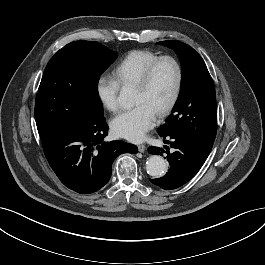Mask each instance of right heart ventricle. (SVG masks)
<instances>
[{
	"label": "right heart ventricle",
	"instance_id": "1",
	"mask_svg": "<svg viewBox=\"0 0 265 265\" xmlns=\"http://www.w3.org/2000/svg\"><path fill=\"white\" fill-rule=\"evenodd\" d=\"M157 57L150 50H132L117 63L113 70L114 77L122 87L135 85L145 68Z\"/></svg>",
	"mask_w": 265,
	"mask_h": 265
}]
</instances>
